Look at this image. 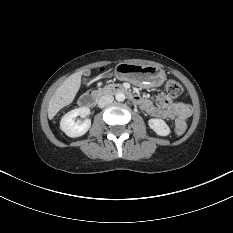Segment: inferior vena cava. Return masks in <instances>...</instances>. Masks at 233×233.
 <instances>
[{
    "label": "inferior vena cava",
    "mask_w": 233,
    "mask_h": 233,
    "mask_svg": "<svg viewBox=\"0 0 233 233\" xmlns=\"http://www.w3.org/2000/svg\"><path fill=\"white\" fill-rule=\"evenodd\" d=\"M114 98L112 95H104L98 100V106L104 108L105 106L111 104Z\"/></svg>",
    "instance_id": "inferior-vena-cava-1"
}]
</instances>
